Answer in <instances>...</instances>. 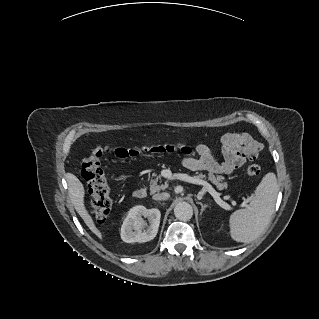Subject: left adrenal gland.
<instances>
[{"label": "left adrenal gland", "mask_w": 319, "mask_h": 319, "mask_svg": "<svg viewBox=\"0 0 319 319\" xmlns=\"http://www.w3.org/2000/svg\"><path fill=\"white\" fill-rule=\"evenodd\" d=\"M201 206V214L204 212V210L208 207V205L203 204L202 202L198 203Z\"/></svg>", "instance_id": "1"}]
</instances>
